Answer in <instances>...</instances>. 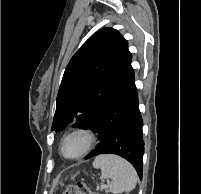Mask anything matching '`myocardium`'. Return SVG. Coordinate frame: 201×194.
Returning <instances> with one entry per match:
<instances>
[{
	"mask_svg": "<svg viewBox=\"0 0 201 194\" xmlns=\"http://www.w3.org/2000/svg\"><path fill=\"white\" fill-rule=\"evenodd\" d=\"M78 135L83 136L85 138L86 140L85 147L83 148L81 152H79L76 155H73V156L66 155L63 151V146L65 142L69 138L73 136H78ZM96 142H97V135L92 128L86 127V126H78L69 130L62 136L59 143V152L61 156L67 160H79L90 153V151L94 148Z\"/></svg>",
	"mask_w": 201,
	"mask_h": 194,
	"instance_id": "1",
	"label": "myocardium"
}]
</instances>
